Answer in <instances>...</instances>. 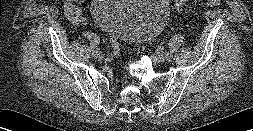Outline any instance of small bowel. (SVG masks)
I'll return each instance as SVG.
<instances>
[{
	"label": "small bowel",
	"mask_w": 253,
	"mask_h": 131,
	"mask_svg": "<svg viewBox=\"0 0 253 131\" xmlns=\"http://www.w3.org/2000/svg\"><path fill=\"white\" fill-rule=\"evenodd\" d=\"M84 0H63V9L67 18L74 23L84 22L79 4Z\"/></svg>",
	"instance_id": "small-bowel-1"
}]
</instances>
